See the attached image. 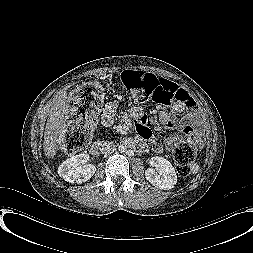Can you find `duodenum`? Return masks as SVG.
Returning <instances> with one entry per match:
<instances>
[{
	"instance_id": "duodenum-1",
	"label": "duodenum",
	"mask_w": 253,
	"mask_h": 253,
	"mask_svg": "<svg viewBox=\"0 0 253 253\" xmlns=\"http://www.w3.org/2000/svg\"><path fill=\"white\" fill-rule=\"evenodd\" d=\"M105 148V145L100 143H93L90 147V153L92 155H99Z\"/></svg>"
}]
</instances>
